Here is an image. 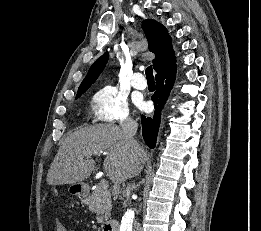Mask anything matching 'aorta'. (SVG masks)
Listing matches in <instances>:
<instances>
[{"mask_svg":"<svg viewBox=\"0 0 261 231\" xmlns=\"http://www.w3.org/2000/svg\"><path fill=\"white\" fill-rule=\"evenodd\" d=\"M134 219V211L128 209L122 217L120 231H132V223Z\"/></svg>","mask_w":261,"mask_h":231,"instance_id":"obj_1","label":"aorta"}]
</instances>
